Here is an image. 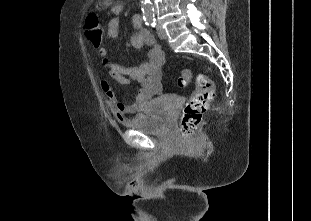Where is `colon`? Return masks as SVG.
I'll list each match as a JSON object with an SVG mask.
<instances>
[{
	"mask_svg": "<svg viewBox=\"0 0 311 221\" xmlns=\"http://www.w3.org/2000/svg\"><path fill=\"white\" fill-rule=\"evenodd\" d=\"M85 39H89L91 45L95 49L102 46L103 26L97 22V19L88 14L86 18ZM177 83L181 87L188 86L190 83V71L183 70ZM214 97V85L210 79L204 75H200L196 80V90L186 101L182 118L180 119L179 129L181 141H192V133L202 122L203 115L209 108Z\"/></svg>",
	"mask_w": 311,
	"mask_h": 221,
	"instance_id": "obj_1",
	"label": "colon"
}]
</instances>
